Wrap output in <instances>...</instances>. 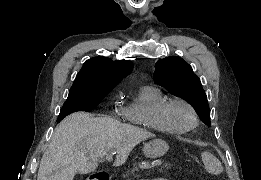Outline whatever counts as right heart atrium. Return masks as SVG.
<instances>
[{
	"mask_svg": "<svg viewBox=\"0 0 261 180\" xmlns=\"http://www.w3.org/2000/svg\"><path fill=\"white\" fill-rule=\"evenodd\" d=\"M117 114V116H119L120 114L119 113H116ZM120 120V119H119ZM121 127H122V123H121Z\"/></svg>",
	"mask_w": 261,
	"mask_h": 180,
	"instance_id": "1",
	"label": "right heart atrium"
}]
</instances>
